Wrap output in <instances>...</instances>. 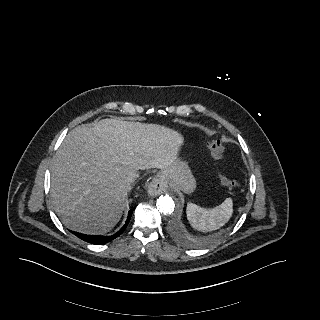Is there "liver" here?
<instances>
[{
  "label": "liver",
  "instance_id": "obj_1",
  "mask_svg": "<svg viewBox=\"0 0 320 320\" xmlns=\"http://www.w3.org/2000/svg\"><path fill=\"white\" fill-rule=\"evenodd\" d=\"M183 137L157 124L102 119L79 125L64 139L51 169V197L65 226L105 234L120 220L130 172L168 168Z\"/></svg>",
  "mask_w": 320,
  "mask_h": 320
}]
</instances>
